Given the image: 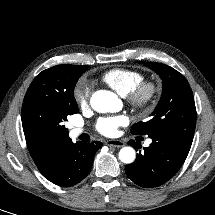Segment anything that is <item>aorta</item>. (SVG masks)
<instances>
[{
    "instance_id": "762f6f07",
    "label": "aorta",
    "mask_w": 215,
    "mask_h": 215,
    "mask_svg": "<svg viewBox=\"0 0 215 215\" xmlns=\"http://www.w3.org/2000/svg\"><path fill=\"white\" fill-rule=\"evenodd\" d=\"M92 108L100 113L117 112L121 108V101L113 92L106 90L96 91L90 100ZM121 162L130 164L135 160V150L132 147H123L119 152Z\"/></svg>"
}]
</instances>
